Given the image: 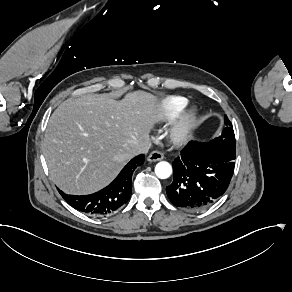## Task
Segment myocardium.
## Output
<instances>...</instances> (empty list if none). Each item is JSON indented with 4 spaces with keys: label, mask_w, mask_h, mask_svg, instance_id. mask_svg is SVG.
Wrapping results in <instances>:
<instances>
[{
    "label": "myocardium",
    "mask_w": 292,
    "mask_h": 292,
    "mask_svg": "<svg viewBox=\"0 0 292 292\" xmlns=\"http://www.w3.org/2000/svg\"><path fill=\"white\" fill-rule=\"evenodd\" d=\"M196 125V112L192 108L181 110L169 130V138L175 144H182L190 137Z\"/></svg>",
    "instance_id": "1"
}]
</instances>
